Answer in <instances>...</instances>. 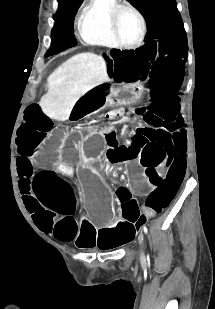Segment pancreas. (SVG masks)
I'll return each instance as SVG.
<instances>
[{
	"label": "pancreas",
	"mask_w": 215,
	"mask_h": 309,
	"mask_svg": "<svg viewBox=\"0 0 215 309\" xmlns=\"http://www.w3.org/2000/svg\"><path fill=\"white\" fill-rule=\"evenodd\" d=\"M112 96H113V94H108V96H107V98H109L110 102H114Z\"/></svg>",
	"instance_id": "cf45deb5"
}]
</instances>
